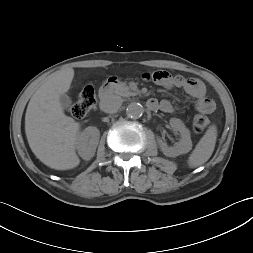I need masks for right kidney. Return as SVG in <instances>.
Listing matches in <instances>:
<instances>
[{
	"label": "right kidney",
	"instance_id": "right-kidney-1",
	"mask_svg": "<svg viewBox=\"0 0 253 253\" xmlns=\"http://www.w3.org/2000/svg\"><path fill=\"white\" fill-rule=\"evenodd\" d=\"M100 138V131L93 126L85 128L78 136L76 149L80 157L84 160H90L96 151Z\"/></svg>",
	"mask_w": 253,
	"mask_h": 253
}]
</instances>
